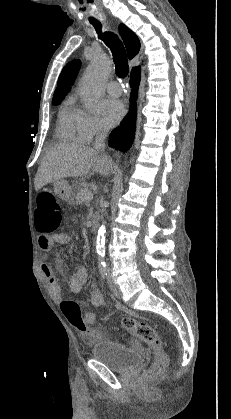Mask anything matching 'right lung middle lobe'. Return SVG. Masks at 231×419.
Listing matches in <instances>:
<instances>
[{
    "instance_id": "dd1d6c3e",
    "label": "right lung middle lobe",
    "mask_w": 231,
    "mask_h": 419,
    "mask_svg": "<svg viewBox=\"0 0 231 419\" xmlns=\"http://www.w3.org/2000/svg\"><path fill=\"white\" fill-rule=\"evenodd\" d=\"M62 99H53L52 104L57 105L61 102Z\"/></svg>"
}]
</instances>
